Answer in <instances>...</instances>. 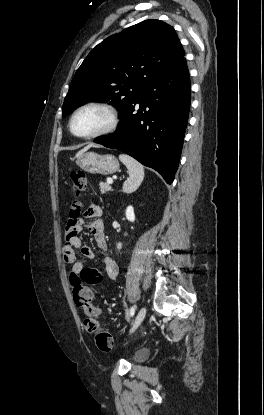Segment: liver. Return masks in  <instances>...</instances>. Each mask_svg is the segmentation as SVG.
<instances>
[{"instance_id":"obj_1","label":"liver","mask_w":264,"mask_h":415,"mask_svg":"<svg viewBox=\"0 0 264 415\" xmlns=\"http://www.w3.org/2000/svg\"><path fill=\"white\" fill-rule=\"evenodd\" d=\"M90 147H91V145H88L87 147H85L84 149H82L81 151H79L77 155L86 152Z\"/></svg>"}]
</instances>
